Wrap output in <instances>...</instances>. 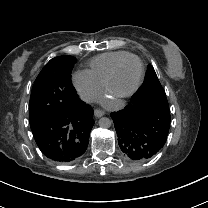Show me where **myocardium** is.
Wrapping results in <instances>:
<instances>
[{"instance_id":"obj_1","label":"myocardium","mask_w":208,"mask_h":208,"mask_svg":"<svg viewBox=\"0 0 208 208\" xmlns=\"http://www.w3.org/2000/svg\"><path fill=\"white\" fill-rule=\"evenodd\" d=\"M129 58H135L139 62V65H140L139 79H138L136 85L130 91H128L126 93H115L113 91L112 86H113V82H114L117 70L122 65V63L124 61H126L127 59H129ZM144 76H145V67H144V63H143L142 59L138 55H136V54L129 53L128 55H126L123 58L119 59L114 64V66L112 67V69H111V71H110V73L108 75V78H107L103 88H104V91H105L106 95H108V96H110V97H112L114 99L124 100V99L132 97L140 89V87L142 86L143 81H144Z\"/></svg>"}]
</instances>
